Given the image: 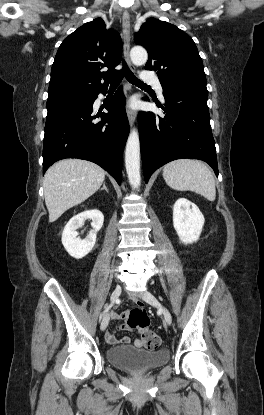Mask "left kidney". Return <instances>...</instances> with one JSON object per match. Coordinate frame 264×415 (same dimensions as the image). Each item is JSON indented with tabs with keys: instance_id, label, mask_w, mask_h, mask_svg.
I'll return each instance as SVG.
<instances>
[{
	"instance_id": "obj_1",
	"label": "left kidney",
	"mask_w": 264,
	"mask_h": 415,
	"mask_svg": "<svg viewBox=\"0 0 264 415\" xmlns=\"http://www.w3.org/2000/svg\"><path fill=\"white\" fill-rule=\"evenodd\" d=\"M205 219L199 208L185 198H179L173 207V226L180 241L191 244L199 239Z\"/></svg>"
}]
</instances>
